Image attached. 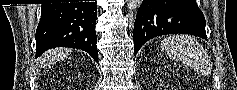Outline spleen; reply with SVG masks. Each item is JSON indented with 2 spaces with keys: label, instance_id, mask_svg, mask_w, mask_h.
Returning <instances> with one entry per match:
<instances>
[{
  "label": "spleen",
  "instance_id": "3e777b00",
  "mask_svg": "<svg viewBox=\"0 0 237 90\" xmlns=\"http://www.w3.org/2000/svg\"><path fill=\"white\" fill-rule=\"evenodd\" d=\"M161 50L166 52L167 56H172L176 62H185L193 68H202L207 62V56L203 46L198 44L192 36H168L163 40Z\"/></svg>",
  "mask_w": 237,
  "mask_h": 90
}]
</instances>
